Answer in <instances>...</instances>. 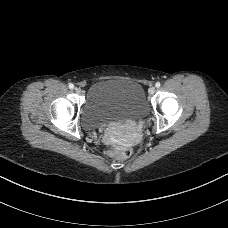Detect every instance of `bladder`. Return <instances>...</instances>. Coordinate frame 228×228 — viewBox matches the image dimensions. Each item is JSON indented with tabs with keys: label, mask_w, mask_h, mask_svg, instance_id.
<instances>
[{
	"label": "bladder",
	"mask_w": 228,
	"mask_h": 228,
	"mask_svg": "<svg viewBox=\"0 0 228 228\" xmlns=\"http://www.w3.org/2000/svg\"><path fill=\"white\" fill-rule=\"evenodd\" d=\"M143 86L130 79H110L93 83L81 111L87 130L103 128L119 121L137 120L148 113Z\"/></svg>",
	"instance_id": "1"
}]
</instances>
